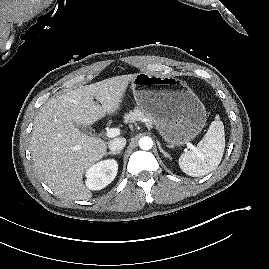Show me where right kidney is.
<instances>
[{"mask_svg": "<svg viewBox=\"0 0 269 269\" xmlns=\"http://www.w3.org/2000/svg\"><path fill=\"white\" fill-rule=\"evenodd\" d=\"M118 172V164L114 159H107L92 165L86 172V186L90 190H101L109 185Z\"/></svg>", "mask_w": 269, "mask_h": 269, "instance_id": "1", "label": "right kidney"}]
</instances>
